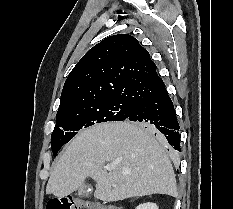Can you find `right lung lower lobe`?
I'll list each match as a JSON object with an SVG mask.
<instances>
[{"label": "right lung lower lobe", "mask_w": 233, "mask_h": 209, "mask_svg": "<svg viewBox=\"0 0 233 209\" xmlns=\"http://www.w3.org/2000/svg\"><path fill=\"white\" fill-rule=\"evenodd\" d=\"M126 120L149 125L154 132L162 133L174 149L181 150L179 124L166 88L136 104Z\"/></svg>", "instance_id": "right-lung-lower-lobe-1"}]
</instances>
